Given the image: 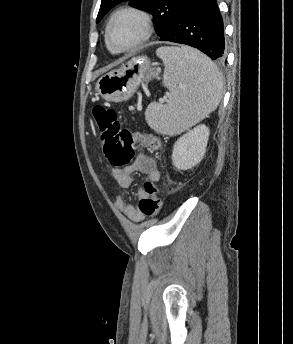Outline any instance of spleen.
<instances>
[{"mask_svg": "<svg viewBox=\"0 0 293 344\" xmlns=\"http://www.w3.org/2000/svg\"><path fill=\"white\" fill-rule=\"evenodd\" d=\"M156 54L165 65L163 85L169 95L166 104L150 103L145 119L157 133L176 135L217 108L223 77L207 56L191 47H161Z\"/></svg>", "mask_w": 293, "mask_h": 344, "instance_id": "1", "label": "spleen"}]
</instances>
